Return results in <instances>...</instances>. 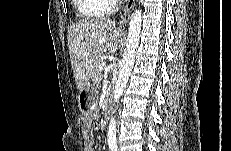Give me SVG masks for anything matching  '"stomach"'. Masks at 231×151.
<instances>
[{"mask_svg": "<svg viewBox=\"0 0 231 151\" xmlns=\"http://www.w3.org/2000/svg\"><path fill=\"white\" fill-rule=\"evenodd\" d=\"M98 90L94 84L87 82L78 94V106L84 115L91 114L97 105Z\"/></svg>", "mask_w": 231, "mask_h": 151, "instance_id": "stomach-1", "label": "stomach"}]
</instances>
